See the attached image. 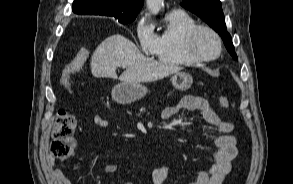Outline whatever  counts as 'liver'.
<instances>
[{
    "label": "liver",
    "mask_w": 293,
    "mask_h": 184,
    "mask_svg": "<svg viewBox=\"0 0 293 184\" xmlns=\"http://www.w3.org/2000/svg\"><path fill=\"white\" fill-rule=\"evenodd\" d=\"M91 72L97 78L117 79L116 69L126 70L120 75L122 82H152L179 72L182 68L145 57L126 37L115 34L102 41L93 52Z\"/></svg>",
    "instance_id": "6515ba94"
}]
</instances>
